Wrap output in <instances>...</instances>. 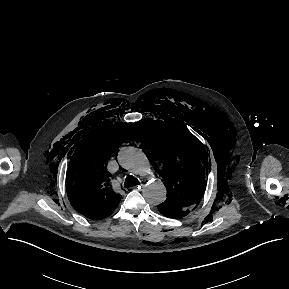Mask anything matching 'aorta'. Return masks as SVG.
Segmentation results:
<instances>
[{
  "label": "aorta",
  "instance_id": "1",
  "mask_svg": "<svg viewBox=\"0 0 289 289\" xmlns=\"http://www.w3.org/2000/svg\"><path fill=\"white\" fill-rule=\"evenodd\" d=\"M118 161L122 167L146 180L143 196L148 203L158 205L166 200V187L155 176L152 165L142 150L125 147L119 152Z\"/></svg>",
  "mask_w": 289,
  "mask_h": 289
}]
</instances>
